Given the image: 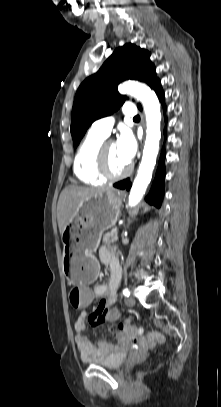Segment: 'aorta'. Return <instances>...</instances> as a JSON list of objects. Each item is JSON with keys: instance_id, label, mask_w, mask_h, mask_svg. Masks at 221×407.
<instances>
[{"instance_id": "1", "label": "aorta", "mask_w": 221, "mask_h": 407, "mask_svg": "<svg viewBox=\"0 0 221 407\" xmlns=\"http://www.w3.org/2000/svg\"><path fill=\"white\" fill-rule=\"evenodd\" d=\"M118 90L122 94H130L140 100L143 104L146 116L147 129L143 156L128 201L129 206L132 207L137 205L142 199L151 181L152 172L156 164V158L159 152V141L161 139L160 103L155 92L147 85L139 82H125L119 85Z\"/></svg>"}]
</instances>
